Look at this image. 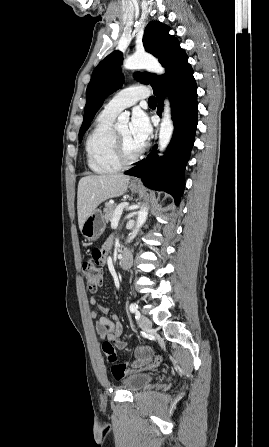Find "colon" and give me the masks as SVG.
<instances>
[{
	"mask_svg": "<svg viewBox=\"0 0 269 447\" xmlns=\"http://www.w3.org/2000/svg\"><path fill=\"white\" fill-rule=\"evenodd\" d=\"M105 262L104 252L100 250H95L91 253L90 258L84 260L82 263V275L85 280L87 290L89 293L94 294L101 287L103 282V265ZM102 350L107 360L113 363L110 372L111 376L116 380H121L124 377L136 373L145 371L147 369H153L157 367L162 359L159 357L150 358L147 361H138L132 364H127L124 362H116L117 351L113 345L109 343H104ZM139 355H148L150 351L145 348H140L137 350Z\"/></svg>",
	"mask_w": 269,
	"mask_h": 447,
	"instance_id": "colon-1",
	"label": "colon"
}]
</instances>
